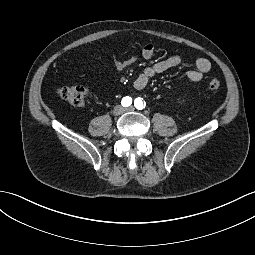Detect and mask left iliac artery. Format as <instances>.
<instances>
[{
  "label": "left iliac artery",
  "mask_w": 255,
  "mask_h": 255,
  "mask_svg": "<svg viewBox=\"0 0 255 255\" xmlns=\"http://www.w3.org/2000/svg\"><path fill=\"white\" fill-rule=\"evenodd\" d=\"M134 106L139 109L142 110L145 108L146 104L145 101L142 98H136L134 101Z\"/></svg>",
  "instance_id": "44dca946"
}]
</instances>
